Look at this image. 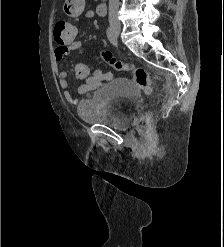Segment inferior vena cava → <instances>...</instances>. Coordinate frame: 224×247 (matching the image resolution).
I'll return each mask as SVG.
<instances>
[{"label":"inferior vena cava","mask_w":224,"mask_h":247,"mask_svg":"<svg viewBox=\"0 0 224 247\" xmlns=\"http://www.w3.org/2000/svg\"><path fill=\"white\" fill-rule=\"evenodd\" d=\"M118 8L119 0H109V22L110 24H116V26H120V22L118 20Z\"/></svg>","instance_id":"inferior-vena-cava-1"}]
</instances>
